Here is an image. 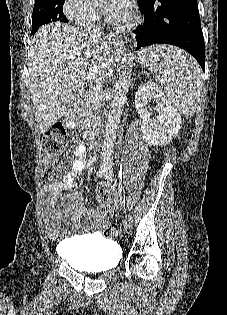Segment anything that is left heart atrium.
Masks as SVG:
<instances>
[{
    "mask_svg": "<svg viewBox=\"0 0 227 315\" xmlns=\"http://www.w3.org/2000/svg\"><path fill=\"white\" fill-rule=\"evenodd\" d=\"M132 6V0H106L103 11L110 22L123 26L132 16Z\"/></svg>",
    "mask_w": 227,
    "mask_h": 315,
    "instance_id": "left-heart-atrium-1",
    "label": "left heart atrium"
}]
</instances>
